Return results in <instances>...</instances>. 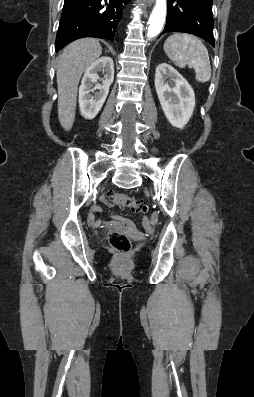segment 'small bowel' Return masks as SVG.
Masks as SVG:
<instances>
[{"mask_svg": "<svg viewBox=\"0 0 254 397\" xmlns=\"http://www.w3.org/2000/svg\"><path fill=\"white\" fill-rule=\"evenodd\" d=\"M102 202L105 205H110L109 200L106 197L102 198ZM102 210V208L100 206H93L88 214V224L92 227V228H100L104 225H109V226H114V227H123L124 225L128 224L125 222V220L119 216L114 215L112 218V221H104L101 220L99 218H97L95 216V213L100 212ZM145 229L148 233H150L152 231L151 226L149 224V222H146L145 224Z\"/></svg>", "mask_w": 254, "mask_h": 397, "instance_id": "c3829d8e", "label": "small bowel"}]
</instances>
